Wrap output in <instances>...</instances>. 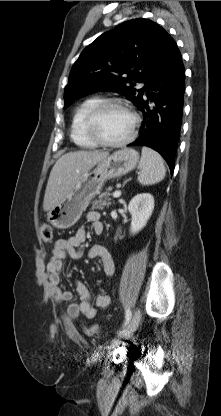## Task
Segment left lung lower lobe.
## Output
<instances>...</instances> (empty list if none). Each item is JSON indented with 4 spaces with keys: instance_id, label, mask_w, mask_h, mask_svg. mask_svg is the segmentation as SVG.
Instances as JSON below:
<instances>
[{
    "instance_id": "0a47b994",
    "label": "left lung lower lobe",
    "mask_w": 221,
    "mask_h": 416,
    "mask_svg": "<svg viewBox=\"0 0 221 416\" xmlns=\"http://www.w3.org/2000/svg\"><path fill=\"white\" fill-rule=\"evenodd\" d=\"M146 85L151 92L146 93L147 99L138 107L144 117L140 136L128 146L153 148L163 156L173 174L183 115L185 70L178 47L168 33Z\"/></svg>"
}]
</instances>
